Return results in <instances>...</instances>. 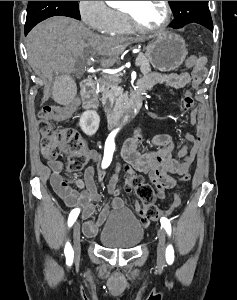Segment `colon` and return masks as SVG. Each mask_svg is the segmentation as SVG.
Returning <instances> with one entry per match:
<instances>
[{
	"label": "colon",
	"mask_w": 237,
	"mask_h": 300,
	"mask_svg": "<svg viewBox=\"0 0 237 300\" xmlns=\"http://www.w3.org/2000/svg\"><path fill=\"white\" fill-rule=\"evenodd\" d=\"M204 58L191 56L186 60L188 68L194 67ZM52 108L46 106L39 112L38 129L41 134V153L46 160H55L65 150L72 152L68 159L67 171L77 172L89 161L90 157L86 145L80 134L73 128H55L51 122ZM189 173L181 175V181H189ZM127 179L130 188L143 204L144 213L147 218L153 220L160 215V210L155 204V193L153 188L144 181L140 175L128 172ZM175 199H178L175 197Z\"/></svg>",
	"instance_id": "obj_1"
}]
</instances>
